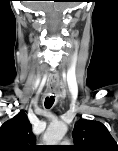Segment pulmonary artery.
Listing matches in <instances>:
<instances>
[{"mask_svg": "<svg viewBox=\"0 0 118 151\" xmlns=\"http://www.w3.org/2000/svg\"><path fill=\"white\" fill-rule=\"evenodd\" d=\"M63 144H69V141H64V142H62Z\"/></svg>", "mask_w": 118, "mask_h": 151, "instance_id": "pulmonary-artery-1", "label": "pulmonary artery"}]
</instances>
